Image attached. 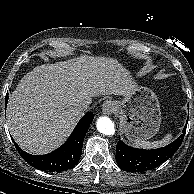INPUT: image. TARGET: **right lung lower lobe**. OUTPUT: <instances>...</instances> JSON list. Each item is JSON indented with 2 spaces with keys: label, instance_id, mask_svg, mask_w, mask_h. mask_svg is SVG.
<instances>
[{
  "label": "right lung lower lobe",
  "instance_id": "right-lung-lower-lobe-1",
  "mask_svg": "<svg viewBox=\"0 0 194 194\" xmlns=\"http://www.w3.org/2000/svg\"><path fill=\"white\" fill-rule=\"evenodd\" d=\"M8 95H6L5 104H7ZM94 119L92 112L86 113L69 139L55 151L46 155H30L23 151L12 139L16 149L21 157L31 166L47 172H59L74 168L81 156L82 145L86 132Z\"/></svg>",
  "mask_w": 194,
  "mask_h": 194
}]
</instances>
